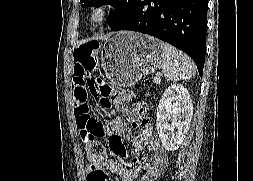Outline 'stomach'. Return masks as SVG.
Masks as SVG:
<instances>
[{"instance_id": "0dacf381", "label": "stomach", "mask_w": 253, "mask_h": 181, "mask_svg": "<svg viewBox=\"0 0 253 181\" xmlns=\"http://www.w3.org/2000/svg\"><path fill=\"white\" fill-rule=\"evenodd\" d=\"M162 42L149 35L122 31L108 39L101 50V67L116 86L129 87L162 65Z\"/></svg>"}]
</instances>
